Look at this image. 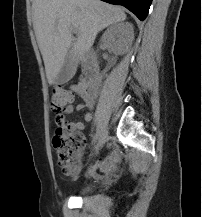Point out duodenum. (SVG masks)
<instances>
[{
    "label": "duodenum",
    "mask_w": 202,
    "mask_h": 217,
    "mask_svg": "<svg viewBox=\"0 0 202 217\" xmlns=\"http://www.w3.org/2000/svg\"><path fill=\"white\" fill-rule=\"evenodd\" d=\"M86 55L88 56V52ZM85 64L87 65L88 73V79L85 82L86 90L89 93H96L99 88L98 71L95 69L93 65H91L90 60L88 58L85 60Z\"/></svg>",
    "instance_id": "obj_1"
}]
</instances>
